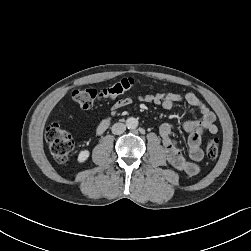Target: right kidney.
I'll use <instances>...</instances> for the list:
<instances>
[{
    "label": "right kidney",
    "instance_id": "1",
    "mask_svg": "<svg viewBox=\"0 0 251 251\" xmlns=\"http://www.w3.org/2000/svg\"><path fill=\"white\" fill-rule=\"evenodd\" d=\"M89 155H90V152L88 150L81 151L78 155V162L79 163L85 162L88 159Z\"/></svg>",
    "mask_w": 251,
    "mask_h": 251
}]
</instances>
